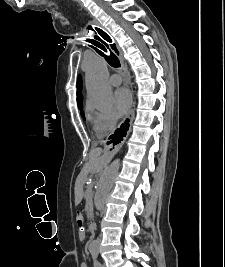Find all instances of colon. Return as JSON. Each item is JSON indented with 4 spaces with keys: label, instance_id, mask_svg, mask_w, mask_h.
Instances as JSON below:
<instances>
[{
    "label": "colon",
    "instance_id": "colon-1",
    "mask_svg": "<svg viewBox=\"0 0 225 267\" xmlns=\"http://www.w3.org/2000/svg\"><path fill=\"white\" fill-rule=\"evenodd\" d=\"M76 223L79 227L83 225V215L80 212L76 213Z\"/></svg>",
    "mask_w": 225,
    "mask_h": 267
}]
</instances>
